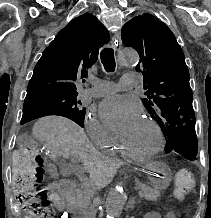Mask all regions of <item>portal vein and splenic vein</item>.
Segmentation results:
<instances>
[{
	"instance_id": "portal-vein-and-splenic-vein-1",
	"label": "portal vein and splenic vein",
	"mask_w": 211,
	"mask_h": 218,
	"mask_svg": "<svg viewBox=\"0 0 211 218\" xmlns=\"http://www.w3.org/2000/svg\"><path fill=\"white\" fill-rule=\"evenodd\" d=\"M134 189H137V186H134Z\"/></svg>"
}]
</instances>
